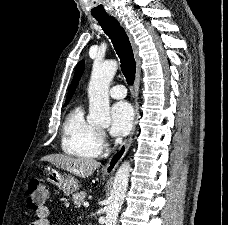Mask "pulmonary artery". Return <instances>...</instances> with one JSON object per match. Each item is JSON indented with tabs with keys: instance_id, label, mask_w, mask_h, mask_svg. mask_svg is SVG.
<instances>
[{
	"instance_id": "pulmonary-artery-1",
	"label": "pulmonary artery",
	"mask_w": 228,
	"mask_h": 225,
	"mask_svg": "<svg viewBox=\"0 0 228 225\" xmlns=\"http://www.w3.org/2000/svg\"><path fill=\"white\" fill-rule=\"evenodd\" d=\"M109 94L112 98L122 99L126 97L127 90L123 85H116L109 90Z\"/></svg>"
}]
</instances>
